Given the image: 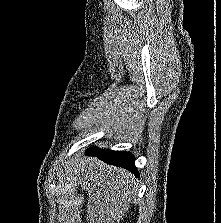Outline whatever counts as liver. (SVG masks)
<instances>
[{"mask_svg":"<svg viewBox=\"0 0 221 223\" xmlns=\"http://www.w3.org/2000/svg\"><path fill=\"white\" fill-rule=\"evenodd\" d=\"M72 169L75 183L87 194V222L119 223L136 198L135 177L96 157L81 158Z\"/></svg>","mask_w":221,"mask_h":223,"instance_id":"6515ba94","label":"liver"}]
</instances>
